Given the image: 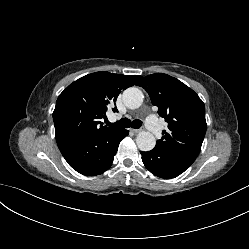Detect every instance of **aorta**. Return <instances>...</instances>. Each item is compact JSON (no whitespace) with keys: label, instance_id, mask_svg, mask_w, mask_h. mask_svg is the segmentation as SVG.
Listing matches in <instances>:
<instances>
[{"label":"aorta","instance_id":"obj_1","mask_svg":"<svg viewBox=\"0 0 249 249\" xmlns=\"http://www.w3.org/2000/svg\"><path fill=\"white\" fill-rule=\"evenodd\" d=\"M144 95L136 87H130L123 92V102L130 109L139 108L142 105ZM136 144L141 151H151L156 145V139L150 132H140L136 137Z\"/></svg>","mask_w":249,"mask_h":249}]
</instances>
